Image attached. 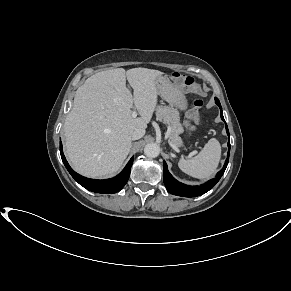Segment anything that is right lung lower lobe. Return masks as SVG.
<instances>
[{
    "label": "right lung lower lobe",
    "mask_w": 291,
    "mask_h": 291,
    "mask_svg": "<svg viewBox=\"0 0 291 291\" xmlns=\"http://www.w3.org/2000/svg\"><path fill=\"white\" fill-rule=\"evenodd\" d=\"M60 153H61V158L65 167L67 168L69 173L72 175V177L75 179V181L78 182L81 186H83L89 191L96 192V193H116L124 187V185L127 183L129 179L130 170L133 163V157L130 159V161L125 166L123 171L117 176L110 179L97 180V179H89V178L83 177L79 175L78 173H76L69 166L63 154L61 142H60Z\"/></svg>",
    "instance_id": "98d812e1"
}]
</instances>
